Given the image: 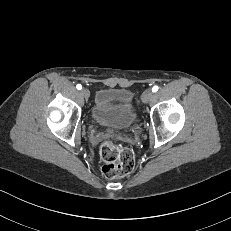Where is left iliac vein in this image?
Segmentation results:
<instances>
[{"mask_svg":"<svg viewBox=\"0 0 231 231\" xmlns=\"http://www.w3.org/2000/svg\"><path fill=\"white\" fill-rule=\"evenodd\" d=\"M153 96V92L150 89H147L142 94V102L148 103Z\"/></svg>","mask_w":231,"mask_h":231,"instance_id":"4c4485c4","label":"left iliac vein"}]
</instances>
